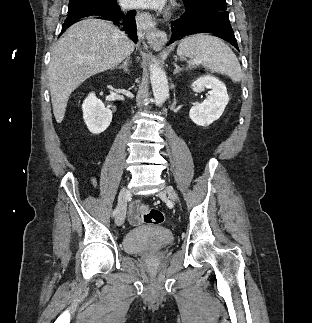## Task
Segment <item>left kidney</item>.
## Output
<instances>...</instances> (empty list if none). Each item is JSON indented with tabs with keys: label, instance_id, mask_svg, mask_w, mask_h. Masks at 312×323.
I'll list each match as a JSON object with an SVG mask.
<instances>
[{
	"label": "left kidney",
	"instance_id": "1",
	"mask_svg": "<svg viewBox=\"0 0 312 323\" xmlns=\"http://www.w3.org/2000/svg\"><path fill=\"white\" fill-rule=\"evenodd\" d=\"M192 86L196 88L197 92H203L205 88L210 90L207 100H204L202 104H196L189 112L194 124L209 126L215 120H219L229 102L226 86L214 76H201L196 82H193Z\"/></svg>",
	"mask_w": 312,
	"mask_h": 323
}]
</instances>
